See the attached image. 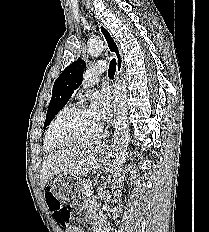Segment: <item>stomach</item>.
I'll return each instance as SVG.
<instances>
[{
  "mask_svg": "<svg viewBox=\"0 0 209 232\" xmlns=\"http://www.w3.org/2000/svg\"><path fill=\"white\" fill-rule=\"evenodd\" d=\"M66 175H69V172H66ZM81 190V178L78 176H55L52 192L56 199H79Z\"/></svg>",
  "mask_w": 209,
  "mask_h": 232,
  "instance_id": "1",
  "label": "stomach"
}]
</instances>
